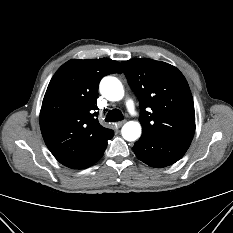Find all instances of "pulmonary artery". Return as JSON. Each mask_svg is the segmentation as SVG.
Instances as JSON below:
<instances>
[{
    "label": "pulmonary artery",
    "instance_id": "pulmonary-artery-1",
    "mask_svg": "<svg viewBox=\"0 0 233 233\" xmlns=\"http://www.w3.org/2000/svg\"><path fill=\"white\" fill-rule=\"evenodd\" d=\"M125 106L131 114H136L135 105L132 99H127L125 102Z\"/></svg>",
    "mask_w": 233,
    "mask_h": 233
}]
</instances>
